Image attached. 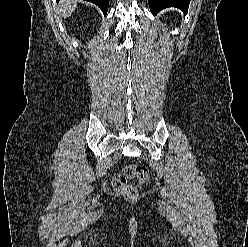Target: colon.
Segmentation results:
<instances>
[{"label": "colon", "instance_id": "colon-1", "mask_svg": "<svg viewBox=\"0 0 248 247\" xmlns=\"http://www.w3.org/2000/svg\"><path fill=\"white\" fill-rule=\"evenodd\" d=\"M149 179L148 168L141 164H128L120 174H116L112 179V185L116 191L124 196L135 199L138 196L137 188L129 181L139 184L146 183Z\"/></svg>", "mask_w": 248, "mask_h": 247}]
</instances>
